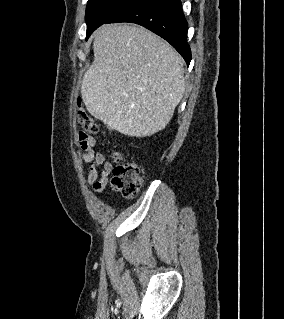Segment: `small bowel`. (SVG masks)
<instances>
[{"instance_id":"c3829d8e","label":"small bowel","mask_w":284,"mask_h":319,"mask_svg":"<svg viewBox=\"0 0 284 319\" xmlns=\"http://www.w3.org/2000/svg\"><path fill=\"white\" fill-rule=\"evenodd\" d=\"M77 141L81 149L80 158L82 162L89 164L87 182L96 193L100 194L108 184V177L113 170V166L104 154L94 151L96 142L89 134L79 131Z\"/></svg>"}]
</instances>
